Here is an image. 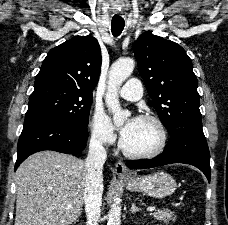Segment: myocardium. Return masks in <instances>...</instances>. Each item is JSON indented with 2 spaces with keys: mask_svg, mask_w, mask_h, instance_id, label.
I'll return each mask as SVG.
<instances>
[{
  "mask_svg": "<svg viewBox=\"0 0 228 225\" xmlns=\"http://www.w3.org/2000/svg\"><path fill=\"white\" fill-rule=\"evenodd\" d=\"M138 120L151 122L158 128L160 133L159 146L152 151H138V150H133L129 148L126 145L125 140L122 139L120 142V148L122 152L128 156L135 157V158H154L161 155L166 149V146L168 143V132L164 123L158 117H155L152 115H141L138 118Z\"/></svg>",
  "mask_w": 228,
  "mask_h": 225,
  "instance_id": "1",
  "label": "myocardium"
}]
</instances>
